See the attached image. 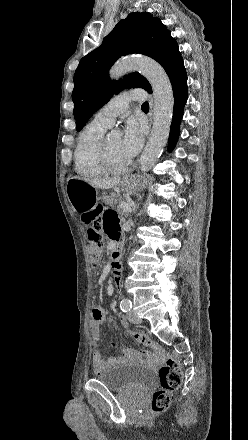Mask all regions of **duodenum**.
I'll return each mask as SVG.
<instances>
[{
  "label": "duodenum",
  "mask_w": 248,
  "mask_h": 440,
  "mask_svg": "<svg viewBox=\"0 0 248 440\" xmlns=\"http://www.w3.org/2000/svg\"><path fill=\"white\" fill-rule=\"evenodd\" d=\"M113 240V249L111 253V260L113 268H118V261L122 254V241L120 236H115Z\"/></svg>",
  "instance_id": "obj_1"
}]
</instances>
